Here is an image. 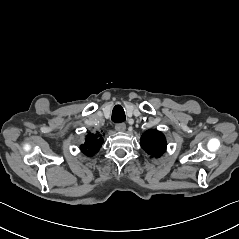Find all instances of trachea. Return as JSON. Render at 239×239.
I'll use <instances>...</instances> for the list:
<instances>
[{
    "mask_svg": "<svg viewBox=\"0 0 239 239\" xmlns=\"http://www.w3.org/2000/svg\"><path fill=\"white\" fill-rule=\"evenodd\" d=\"M111 119L115 123H121L126 120L125 112L121 105H116L113 108Z\"/></svg>",
    "mask_w": 239,
    "mask_h": 239,
    "instance_id": "obj_1",
    "label": "trachea"
}]
</instances>
